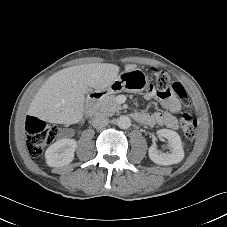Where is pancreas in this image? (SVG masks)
<instances>
[{
	"instance_id": "cf45deb5",
	"label": "pancreas",
	"mask_w": 227,
	"mask_h": 227,
	"mask_svg": "<svg viewBox=\"0 0 227 227\" xmlns=\"http://www.w3.org/2000/svg\"><path fill=\"white\" fill-rule=\"evenodd\" d=\"M121 109L122 107L117 102V97L110 94H107L102 99H100L95 107L97 114H103L106 116H111Z\"/></svg>"
}]
</instances>
